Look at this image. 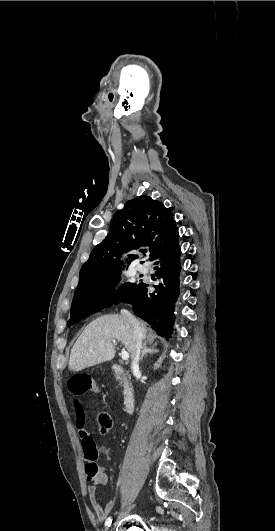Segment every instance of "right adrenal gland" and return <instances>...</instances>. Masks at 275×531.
I'll return each mask as SVG.
<instances>
[{"mask_svg": "<svg viewBox=\"0 0 275 531\" xmlns=\"http://www.w3.org/2000/svg\"><path fill=\"white\" fill-rule=\"evenodd\" d=\"M147 345L148 343H143L142 345L140 361H142L147 353H159V349H155V345H158V343H154V345H150V347H147Z\"/></svg>", "mask_w": 275, "mask_h": 531, "instance_id": "right-adrenal-gland-1", "label": "right adrenal gland"}]
</instances>
